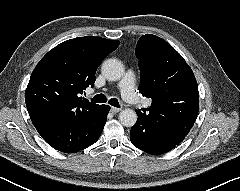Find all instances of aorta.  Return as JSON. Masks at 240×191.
Wrapping results in <instances>:
<instances>
[{
    "label": "aorta",
    "instance_id": "1",
    "mask_svg": "<svg viewBox=\"0 0 240 191\" xmlns=\"http://www.w3.org/2000/svg\"><path fill=\"white\" fill-rule=\"evenodd\" d=\"M102 74L109 81H117L124 74V66L117 59H107L101 67ZM119 121L125 127H132L137 122V114L130 108L123 109L119 113Z\"/></svg>",
    "mask_w": 240,
    "mask_h": 191
}]
</instances>
